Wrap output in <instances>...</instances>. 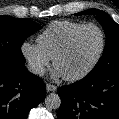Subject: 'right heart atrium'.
Returning <instances> with one entry per match:
<instances>
[{
  "label": "right heart atrium",
  "instance_id": "right-heart-atrium-1",
  "mask_svg": "<svg viewBox=\"0 0 119 119\" xmlns=\"http://www.w3.org/2000/svg\"><path fill=\"white\" fill-rule=\"evenodd\" d=\"M23 57L28 63L32 73L41 75L50 65L51 58L40 48L38 44L24 42L21 46Z\"/></svg>",
  "mask_w": 119,
  "mask_h": 119
}]
</instances>
